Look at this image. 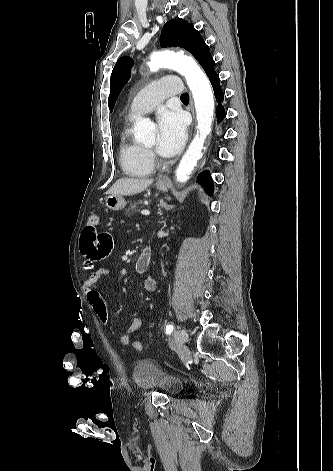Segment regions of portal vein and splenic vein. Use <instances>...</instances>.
I'll return each mask as SVG.
<instances>
[{
  "instance_id": "obj_1",
  "label": "portal vein and splenic vein",
  "mask_w": 333,
  "mask_h": 471,
  "mask_svg": "<svg viewBox=\"0 0 333 471\" xmlns=\"http://www.w3.org/2000/svg\"><path fill=\"white\" fill-rule=\"evenodd\" d=\"M142 215L148 216L150 214L149 210H142L141 211Z\"/></svg>"
}]
</instances>
